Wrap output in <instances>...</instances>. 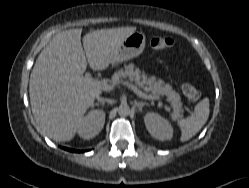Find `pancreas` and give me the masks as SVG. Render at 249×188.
<instances>
[{
    "label": "pancreas",
    "mask_w": 249,
    "mask_h": 188,
    "mask_svg": "<svg viewBox=\"0 0 249 188\" xmlns=\"http://www.w3.org/2000/svg\"><path fill=\"white\" fill-rule=\"evenodd\" d=\"M125 79L134 81L139 88L146 93H150L155 99H158L160 96H167L168 101L172 104L174 116H182L183 110L181 109L180 95L173 90L170 84L165 83L161 79L157 80L155 77H147L143 71L135 68L132 63L117 70L111 78V83L113 86H118Z\"/></svg>",
    "instance_id": "cf45deb5"
}]
</instances>
